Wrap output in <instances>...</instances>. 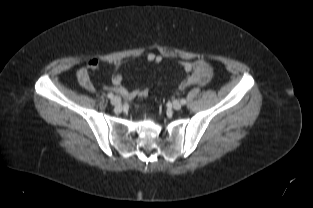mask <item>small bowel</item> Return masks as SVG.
I'll use <instances>...</instances> for the list:
<instances>
[{
  "mask_svg": "<svg viewBox=\"0 0 313 208\" xmlns=\"http://www.w3.org/2000/svg\"><path fill=\"white\" fill-rule=\"evenodd\" d=\"M147 60L152 63H160L162 61V56L155 53H149L147 55ZM121 62L117 61L114 63L115 70L121 66ZM100 62L96 58L90 59L86 65L77 71V81L79 85L86 91L93 93L95 91L94 84L91 80L90 73L99 68ZM181 66L187 73L186 79L181 83L180 87L185 88L190 85H204L206 84L211 76L212 69L204 60L196 61H183ZM112 86H108L107 89H111L126 99H133L138 95V90H129L122 84L121 74L115 72L112 76Z\"/></svg>",
  "mask_w": 313,
  "mask_h": 208,
  "instance_id": "small-bowel-1",
  "label": "small bowel"
}]
</instances>
